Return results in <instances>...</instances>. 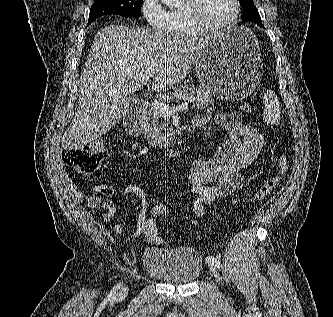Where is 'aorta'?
<instances>
[{
	"mask_svg": "<svg viewBox=\"0 0 333 317\" xmlns=\"http://www.w3.org/2000/svg\"><path fill=\"white\" fill-rule=\"evenodd\" d=\"M161 2L167 5L168 7L173 8L180 3V0H161Z\"/></svg>",
	"mask_w": 333,
	"mask_h": 317,
	"instance_id": "762f6f07",
	"label": "aorta"
}]
</instances>
